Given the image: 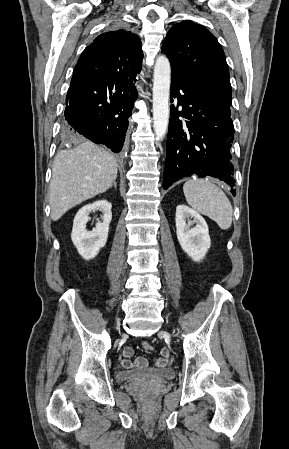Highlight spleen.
Listing matches in <instances>:
<instances>
[{"label": "spleen", "mask_w": 289, "mask_h": 449, "mask_svg": "<svg viewBox=\"0 0 289 449\" xmlns=\"http://www.w3.org/2000/svg\"><path fill=\"white\" fill-rule=\"evenodd\" d=\"M187 203L215 221L222 230L232 224L233 209L225 193L215 184L203 179H189L183 185Z\"/></svg>", "instance_id": "3e777b00"}]
</instances>
